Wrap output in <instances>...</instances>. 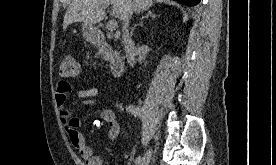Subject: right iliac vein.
<instances>
[{
	"instance_id": "1",
	"label": "right iliac vein",
	"mask_w": 276,
	"mask_h": 165,
	"mask_svg": "<svg viewBox=\"0 0 276 165\" xmlns=\"http://www.w3.org/2000/svg\"><path fill=\"white\" fill-rule=\"evenodd\" d=\"M150 159H151V151L148 150L144 154V156L142 157L138 165H149Z\"/></svg>"
}]
</instances>
